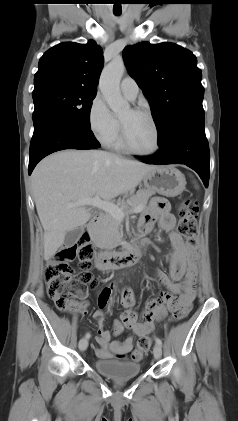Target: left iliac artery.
Masks as SVG:
<instances>
[{"mask_svg":"<svg viewBox=\"0 0 238 421\" xmlns=\"http://www.w3.org/2000/svg\"><path fill=\"white\" fill-rule=\"evenodd\" d=\"M155 341H156L157 344H159L160 346H162V341H161L160 338L155 337Z\"/></svg>","mask_w":238,"mask_h":421,"instance_id":"44dca946","label":"left iliac artery"}]
</instances>
